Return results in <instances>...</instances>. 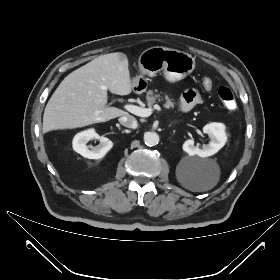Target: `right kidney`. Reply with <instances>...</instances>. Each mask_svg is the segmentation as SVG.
Here are the masks:
<instances>
[{
    "label": "right kidney",
    "instance_id": "ca27d5eb",
    "mask_svg": "<svg viewBox=\"0 0 280 280\" xmlns=\"http://www.w3.org/2000/svg\"><path fill=\"white\" fill-rule=\"evenodd\" d=\"M99 140L100 143L93 147L86 145L90 140ZM111 140L104 136H99L94 129H88L75 135L73 139V149L83 157L89 159H100L112 148Z\"/></svg>",
    "mask_w": 280,
    "mask_h": 280
}]
</instances>
